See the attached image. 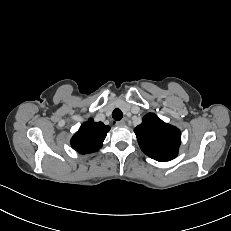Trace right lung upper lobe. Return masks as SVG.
I'll use <instances>...</instances> for the list:
<instances>
[{"mask_svg":"<svg viewBox=\"0 0 231 231\" xmlns=\"http://www.w3.org/2000/svg\"><path fill=\"white\" fill-rule=\"evenodd\" d=\"M109 130V126L90 119L88 122H84L72 137L71 146L81 154L94 152L102 147Z\"/></svg>","mask_w":231,"mask_h":231,"instance_id":"obj_1","label":"right lung upper lobe"}]
</instances>
